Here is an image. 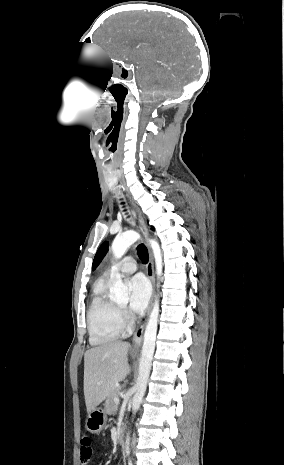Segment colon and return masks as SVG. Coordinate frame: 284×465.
Listing matches in <instances>:
<instances>
[{
    "label": "colon",
    "mask_w": 284,
    "mask_h": 465,
    "mask_svg": "<svg viewBox=\"0 0 284 465\" xmlns=\"http://www.w3.org/2000/svg\"><path fill=\"white\" fill-rule=\"evenodd\" d=\"M91 440L89 437L83 435L80 439V458L81 461H89L92 457L93 450L91 446Z\"/></svg>",
    "instance_id": "1"
}]
</instances>
